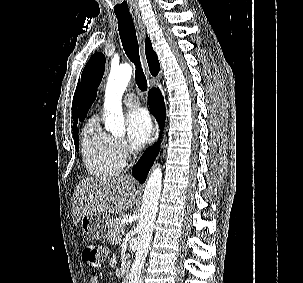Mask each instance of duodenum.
Instances as JSON below:
<instances>
[{
    "mask_svg": "<svg viewBox=\"0 0 303 283\" xmlns=\"http://www.w3.org/2000/svg\"><path fill=\"white\" fill-rule=\"evenodd\" d=\"M131 269V264H126V267H125V272L128 273Z\"/></svg>",
    "mask_w": 303,
    "mask_h": 283,
    "instance_id": "1",
    "label": "duodenum"
}]
</instances>
